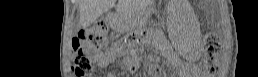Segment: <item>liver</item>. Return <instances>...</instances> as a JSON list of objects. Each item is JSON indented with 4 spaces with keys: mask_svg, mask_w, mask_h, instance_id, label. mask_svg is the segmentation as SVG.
I'll return each instance as SVG.
<instances>
[{
    "mask_svg": "<svg viewBox=\"0 0 258 77\" xmlns=\"http://www.w3.org/2000/svg\"><path fill=\"white\" fill-rule=\"evenodd\" d=\"M115 0H80V25L90 26L101 15L115 6ZM117 13L122 17L130 14V8L126 0H119L116 6Z\"/></svg>",
    "mask_w": 258,
    "mask_h": 77,
    "instance_id": "obj_1",
    "label": "liver"
}]
</instances>
